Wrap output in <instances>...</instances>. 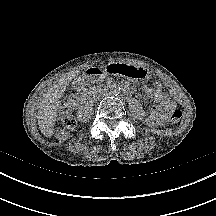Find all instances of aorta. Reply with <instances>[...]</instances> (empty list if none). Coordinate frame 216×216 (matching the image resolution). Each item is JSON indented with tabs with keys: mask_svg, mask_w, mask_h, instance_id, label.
Wrapping results in <instances>:
<instances>
[{
	"mask_svg": "<svg viewBox=\"0 0 216 216\" xmlns=\"http://www.w3.org/2000/svg\"><path fill=\"white\" fill-rule=\"evenodd\" d=\"M119 94H120V87L112 85L110 87V91L108 92L109 98H115V97L119 96Z\"/></svg>",
	"mask_w": 216,
	"mask_h": 216,
	"instance_id": "1",
	"label": "aorta"
}]
</instances>
